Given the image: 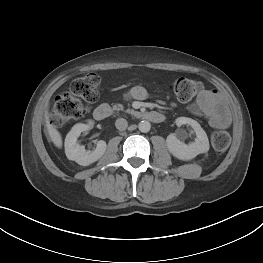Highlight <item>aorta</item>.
<instances>
[{"instance_id": "aorta-1", "label": "aorta", "mask_w": 263, "mask_h": 263, "mask_svg": "<svg viewBox=\"0 0 263 263\" xmlns=\"http://www.w3.org/2000/svg\"><path fill=\"white\" fill-rule=\"evenodd\" d=\"M138 128L141 132L143 133H147L150 131V128H151V124L148 122V121H141L139 124H138Z\"/></svg>"}]
</instances>
